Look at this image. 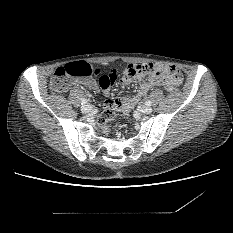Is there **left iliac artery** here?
<instances>
[{"instance_id":"44dca946","label":"left iliac artery","mask_w":233,"mask_h":233,"mask_svg":"<svg viewBox=\"0 0 233 233\" xmlns=\"http://www.w3.org/2000/svg\"><path fill=\"white\" fill-rule=\"evenodd\" d=\"M145 104L147 105V106H151V101L150 100H147L146 102H145Z\"/></svg>"}]
</instances>
